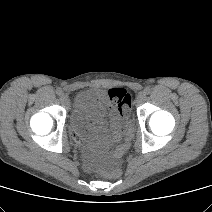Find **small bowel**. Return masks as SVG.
Masks as SVG:
<instances>
[{
    "label": "small bowel",
    "mask_w": 212,
    "mask_h": 212,
    "mask_svg": "<svg viewBox=\"0 0 212 212\" xmlns=\"http://www.w3.org/2000/svg\"><path fill=\"white\" fill-rule=\"evenodd\" d=\"M111 90L106 95L101 94L98 96L88 116V122H91L94 132L105 139L106 145L119 142L124 132L121 115L111 105L112 103L116 104L118 94L111 98Z\"/></svg>",
    "instance_id": "c3829d8e"
}]
</instances>
